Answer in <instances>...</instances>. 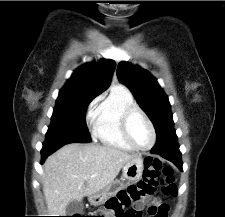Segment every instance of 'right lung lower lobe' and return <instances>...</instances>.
<instances>
[{
	"mask_svg": "<svg viewBox=\"0 0 225 217\" xmlns=\"http://www.w3.org/2000/svg\"><path fill=\"white\" fill-rule=\"evenodd\" d=\"M65 144H59V143H49L43 144V148L41 150V155H42V162L46 159L48 155L59 149L60 147L64 146Z\"/></svg>",
	"mask_w": 225,
	"mask_h": 217,
	"instance_id": "obj_1",
	"label": "right lung lower lobe"
}]
</instances>
